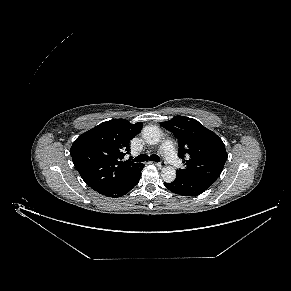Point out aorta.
<instances>
[{
    "mask_svg": "<svg viewBox=\"0 0 291 291\" xmlns=\"http://www.w3.org/2000/svg\"><path fill=\"white\" fill-rule=\"evenodd\" d=\"M142 137L147 144L156 145L160 142L161 133L158 127L148 125L142 129ZM161 177L167 183L173 182L176 178L175 168L171 166L164 167L161 171Z\"/></svg>",
    "mask_w": 291,
    "mask_h": 291,
    "instance_id": "762f6f07",
    "label": "aorta"
}]
</instances>
